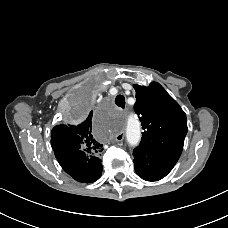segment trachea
<instances>
[{"instance_id":"1","label":"trachea","mask_w":228,"mask_h":228,"mask_svg":"<svg viewBox=\"0 0 228 228\" xmlns=\"http://www.w3.org/2000/svg\"><path fill=\"white\" fill-rule=\"evenodd\" d=\"M115 104L118 106V107H121V108H124L125 107V98L123 95H118L116 98H115Z\"/></svg>"}]
</instances>
